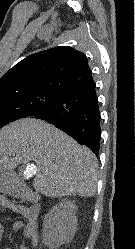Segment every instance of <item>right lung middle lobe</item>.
I'll use <instances>...</instances> for the list:
<instances>
[{"label": "right lung middle lobe", "mask_w": 135, "mask_h": 249, "mask_svg": "<svg viewBox=\"0 0 135 249\" xmlns=\"http://www.w3.org/2000/svg\"><path fill=\"white\" fill-rule=\"evenodd\" d=\"M61 92L31 91L0 96V128L54 101Z\"/></svg>", "instance_id": "right-lung-middle-lobe-1"}]
</instances>
